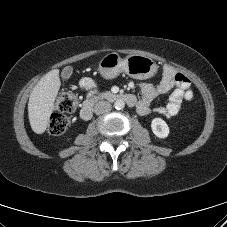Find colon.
Segmentation results:
<instances>
[{
  "label": "colon",
  "mask_w": 227,
  "mask_h": 227,
  "mask_svg": "<svg viewBox=\"0 0 227 227\" xmlns=\"http://www.w3.org/2000/svg\"><path fill=\"white\" fill-rule=\"evenodd\" d=\"M79 106V97L73 91L61 93L55 104L56 112L49 120V132L52 135L63 134L69 124L67 114L74 113Z\"/></svg>",
  "instance_id": "colon-1"
}]
</instances>
